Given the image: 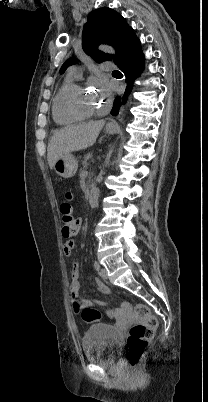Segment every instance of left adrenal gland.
Listing matches in <instances>:
<instances>
[{
	"label": "left adrenal gland",
	"instance_id": "1",
	"mask_svg": "<svg viewBox=\"0 0 208 402\" xmlns=\"http://www.w3.org/2000/svg\"><path fill=\"white\" fill-rule=\"evenodd\" d=\"M113 150L111 148L106 160H105V166H110L109 162H110V158H111V154H112Z\"/></svg>",
	"mask_w": 208,
	"mask_h": 402
}]
</instances>
